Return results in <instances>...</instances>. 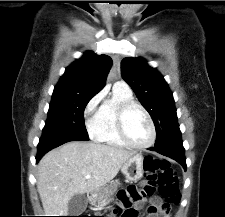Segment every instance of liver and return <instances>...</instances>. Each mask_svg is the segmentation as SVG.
<instances>
[{
  "instance_id": "6515ba94",
  "label": "liver",
  "mask_w": 225,
  "mask_h": 217,
  "mask_svg": "<svg viewBox=\"0 0 225 217\" xmlns=\"http://www.w3.org/2000/svg\"><path fill=\"white\" fill-rule=\"evenodd\" d=\"M135 152L73 141L51 150L38 164L37 190L46 216H67L75 194L96 191L118 174ZM91 175L86 179V175Z\"/></svg>"
}]
</instances>
